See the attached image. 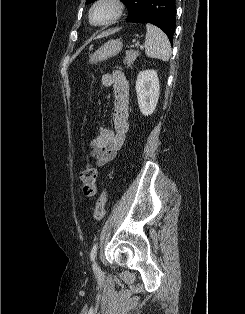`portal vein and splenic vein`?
I'll list each match as a JSON object with an SVG mask.
<instances>
[{
  "mask_svg": "<svg viewBox=\"0 0 245 314\" xmlns=\"http://www.w3.org/2000/svg\"><path fill=\"white\" fill-rule=\"evenodd\" d=\"M135 47H136V48H140V49L142 48V46L140 45L139 42H137V43L135 44Z\"/></svg>",
  "mask_w": 245,
  "mask_h": 314,
  "instance_id": "1",
  "label": "portal vein and splenic vein"
}]
</instances>
